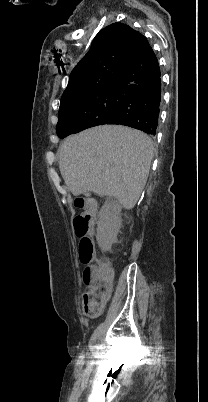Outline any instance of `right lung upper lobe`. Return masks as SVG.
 <instances>
[{
  "mask_svg": "<svg viewBox=\"0 0 208 402\" xmlns=\"http://www.w3.org/2000/svg\"><path fill=\"white\" fill-rule=\"evenodd\" d=\"M146 40L138 31L122 23L103 28L93 39L87 54L72 70L62 96L113 81Z\"/></svg>",
  "mask_w": 208,
  "mask_h": 402,
  "instance_id": "obj_1",
  "label": "right lung upper lobe"
}]
</instances>
